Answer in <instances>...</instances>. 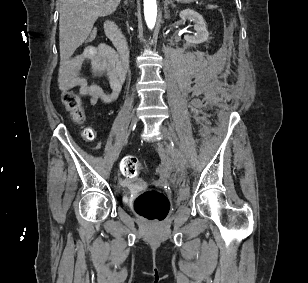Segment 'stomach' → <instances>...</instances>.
<instances>
[{
    "instance_id": "obj_1",
    "label": "stomach",
    "mask_w": 308,
    "mask_h": 283,
    "mask_svg": "<svg viewBox=\"0 0 308 283\" xmlns=\"http://www.w3.org/2000/svg\"><path fill=\"white\" fill-rule=\"evenodd\" d=\"M178 2H182V3H190L193 2L195 0H177Z\"/></svg>"
}]
</instances>
